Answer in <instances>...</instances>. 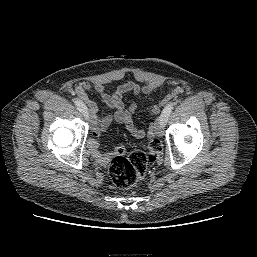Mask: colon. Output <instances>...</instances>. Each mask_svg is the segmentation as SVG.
Returning a JSON list of instances; mask_svg holds the SVG:
<instances>
[{
	"label": "colon",
	"instance_id": "obj_1",
	"mask_svg": "<svg viewBox=\"0 0 257 257\" xmlns=\"http://www.w3.org/2000/svg\"><path fill=\"white\" fill-rule=\"evenodd\" d=\"M101 130L96 127L93 135L98 136ZM90 151L98 161L106 160L99 151L96 142L90 143ZM161 151L157 140L150 143L145 150L127 153L123 146L116 147L111 153L110 176L114 185L126 189L137 185L144 177L147 167L154 162Z\"/></svg>",
	"mask_w": 257,
	"mask_h": 257
}]
</instances>
